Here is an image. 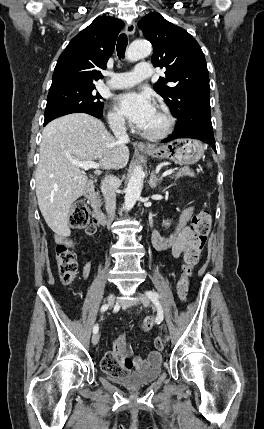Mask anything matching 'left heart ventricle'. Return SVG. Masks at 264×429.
<instances>
[{
    "label": "left heart ventricle",
    "mask_w": 264,
    "mask_h": 429,
    "mask_svg": "<svg viewBox=\"0 0 264 429\" xmlns=\"http://www.w3.org/2000/svg\"><path fill=\"white\" fill-rule=\"evenodd\" d=\"M164 125H165L164 117L159 113V111L155 109L153 115L145 124V126L142 128V130L146 132H158L164 127Z\"/></svg>",
    "instance_id": "left-heart-ventricle-1"
}]
</instances>
